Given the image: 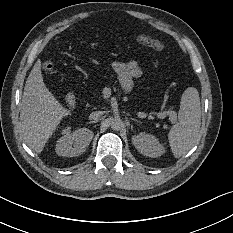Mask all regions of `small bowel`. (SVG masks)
<instances>
[{"label":"small bowel","instance_id":"1","mask_svg":"<svg viewBox=\"0 0 233 233\" xmlns=\"http://www.w3.org/2000/svg\"><path fill=\"white\" fill-rule=\"evenodd\" d=\"M112 69L117 73L121 87L125 93H129L133 88L134 79L142 76V69L136 61H115Z\"/></svg>","mask_w":233,"mask_h":233}]
</instances>
